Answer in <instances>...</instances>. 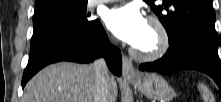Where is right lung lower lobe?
I'll return each mask as SVG.
<instances>
[{
  "label": "right lung lower lobe",
  "mask_w": 221,
  "mask_h": 102,
  "mask_svg": "<svg viewBox=\"0 0 221 102\" xmlns=\"http://www.w3.org/2000/svg\"><path fill=\"white\" fill-rule=\"evenodd\" d=\"M102 56L105 57L112 73L120 76L122 72L120 50L110 44L100 21L85 30L59 32L31 48L22 78V88L35 73L48 64L58 61L90 63Z\"/></svg>",
  "instance_id": "98d812e1"
}]
</instances>
